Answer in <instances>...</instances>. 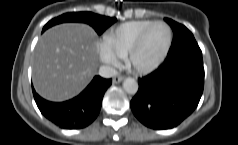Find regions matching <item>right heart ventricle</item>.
<instances>
[{"label":"right heart ventricle","instance_id":"right-heart-ventricle-1","mask_svg":"<svg viewBox=\"0 0 238 145\" xmlns=\"http://www.w3.org/2000/svg\"><path fill=\"white\" fill-rule=\"evenodd\" d=\"M152 22V20H134L125 22L109 29L103 35L102 43L113 51L119 58H124L138 35Z\"/></svg>","mask_w":238,"mask_h":145}]
</instances>
